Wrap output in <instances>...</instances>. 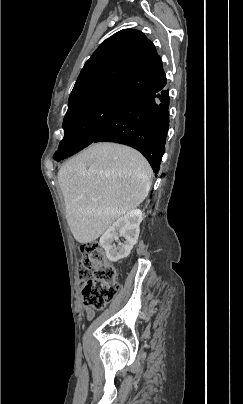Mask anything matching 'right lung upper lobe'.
Listing matches in <instances>:
<instances>
[{"mask_svg":"<svg viewBox=\"0 0 243 404\" xmlns=\"http://www.w3.org/2000/svg\"><path fill=\"white\" fill-rule=\"evenodd\" d=\"M166 85L153 43L133 29L106 39L86 61L68 101V111L104 99L129 100Z\"/></svg>","mask_w":243,"mask_h":404,"instance_id":"right-lung-upper-lobe-1","label":"right lung upper lobe"}]
</instances>
